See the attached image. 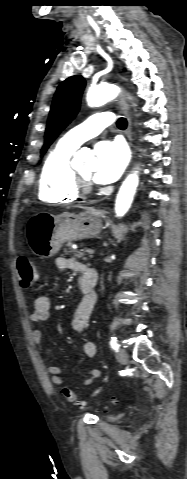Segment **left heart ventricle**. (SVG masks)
<instances>
[{"label": "left heart ventricle", "instance_id": "b2bd125f", "mask_svg": "<svg viewBox=\"0 0 187 479\" xmlns=\"http://www.w3.org/2000/svg\"><path fill=\"white\" fill-rule=\"evenodd\" d=\"M78 172H80L83 176L90 178L93 173V169L90 167H85L82 169H79Z\"/></svg>", "mask_w": 187, "mask_h": 479}]
</instances>
